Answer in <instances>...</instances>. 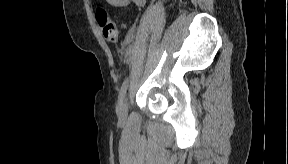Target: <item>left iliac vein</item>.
<instances>
[{
    "mask_svg": "<svg viewBox=\"0 0 288 164\" xmlns=\"http://www.w3.org/2000/svg\"><path fill=\"white\" fill-rule=\"evenodd\" d=\"M128 115V103L127 98H123L118 109V118L120 120H124L127 118Z\"/></svg>",
    "mask_w": 288,
    "mask_h": 164,
    "instance_id": "4c4485c4",
    "label": "left iliac vein"
}]
</instances>
